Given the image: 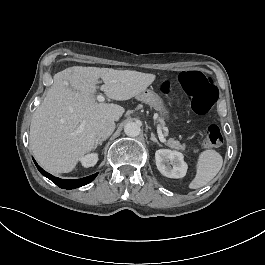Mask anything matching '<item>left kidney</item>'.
I'll use <instances>...</instances> for the list:
<instances>
[{
	"label": "left kidney",
	"mask_w": 265,
	"mask_h": 265,
	"mask_svg": "<svg viewBox=\"0 0 265 265\" xmlns=\"http://www.w3.org/2000/svg\"><path fill=\"white\" fill-rule=\"evenodd\" d=\"M156 164L160 172L170 178L183 177L187 170L183 155L176 151H156Z\"/></svg>",
	"instance_id": "5707ae66"
}]
</instances>
